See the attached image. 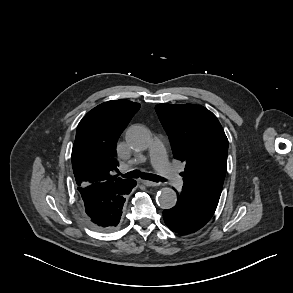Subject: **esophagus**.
<instances>
[{
  "instance_id": "1",
  "label": "esophagus",
  "mask_w": 293,
  "mask_h": 293,
  "mask_svg": "<svg viewBox=\"0 0 293 293\" xmlns=\"http://www.w3.org/2000/svg\"><path fill=\"white\" fill-rule=\"evenodd\" d=\"M141 183L147 187H156L159 185V183L149 181V180H141Z\"/></svg>"
}]
</instances>
